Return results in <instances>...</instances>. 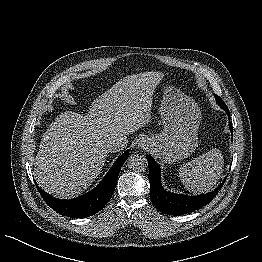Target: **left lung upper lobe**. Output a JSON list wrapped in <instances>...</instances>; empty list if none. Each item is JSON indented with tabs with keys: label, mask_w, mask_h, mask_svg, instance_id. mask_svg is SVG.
I'll use <instances>...</instances> for the list:
<instances>
[{
	"label": "left lung upper lobe",
	"mask_w": 262,
	"mask_h": 262,
	"mask_svg": "<svg viewBox=\"0 0 262 262\" xmlns=\"http://www.w3.org/2000/svg\"><path fill=\"white\" fill-rule=\"evenodd\" d=\"M215 98H216V101L218 102V104L221 107H227L226 104L224 103V101L219 96L215 95Z\"/></svg>",
	"instance_id": "left-lung-upper-lobe-1"
}]
</instances>
